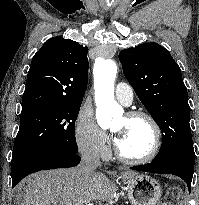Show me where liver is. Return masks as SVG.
Wrapping results in <instances>:
<instances>
[{"label": "liver", "instance_id": "obj_1", "mask_svg": "<svg viewBox=\"0 0 199 205\" xmlns=\"http://www.w3.org/2000/svg\"><path fill=\"white\" fill-rule=\"evenodd\" d=\"M115 175V173H109ZM137 173L123 171L117 180L133 178ZM23 205H90L95 201L110 202L116 185L102 173L91 178L80 174L79 167L41 171L27 178Z\"/></svg>", "mask_w": 199, "mask_h": 205}]
</instances>
